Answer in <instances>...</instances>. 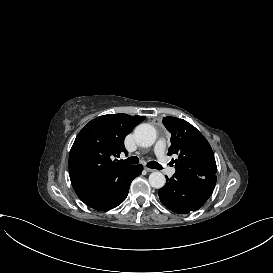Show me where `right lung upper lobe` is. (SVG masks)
Listing matches in <instances>:
<instances>
[{
  "label": "right lung upper lobe",
  "instance_id": "right-lung-upper-lobe-1",
  "mask_svg": "<svg viewBox=\"0 0 273 273\" xmlns=\"http://www.w3.org/2000/svg\"><path fill=\"white\" fill-rule=\"evenodd\" d=\"M145 116L109 114L91 120L77 135L69 154V175L78 197L87 205L101 200L110 181L133 165L112 160L126 152L123 140Z\"/></svg>",
  "mask_w": 273,
  "mask_h": 273
}]
</instances>
